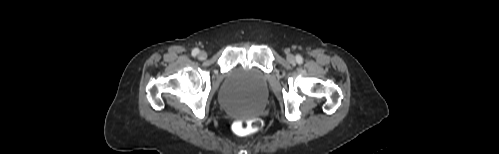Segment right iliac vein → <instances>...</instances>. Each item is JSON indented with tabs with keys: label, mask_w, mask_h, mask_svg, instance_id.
Returning a JSON list of instances; mask_svg holds the SVG:
<instances>
[{
	"label": "right iliac vein",
	"mask_w": 499,
	"mask_h": 154,
	"mask_svg": "<svg viewBox=\"0 0 499 154\" xmlns=\"http://www.w3.org/2000/svg\"><path fill=\"white\" fill-rule=\"evenodd\" d=\"M206 57H207V53H206L205 51H201V52L199 53V58H200V59H202V60H203V59H205Z\"/></svg>",
	"instance_id": "obj_1"
}]
</instances>
